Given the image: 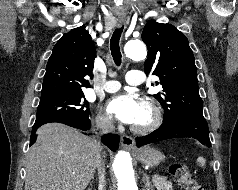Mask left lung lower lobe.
Here are the masks:
<instances>
[{
	"label": "left lung lower lobe",
	"mask_w": 238,
	"mask_h": 190,
	"mask_svg": "<svg viewBox=\"0 0 238 190\" xmlns=\"http://www.w3.org/2000/svg\"><path fill=\"white\" fill-rule=\"evenodd\" d=\"M191 137L203 145L211 146L208 124L203 111H186L163 121L162 125L149 136L136 138L137 147L160 142L170 138Z\"/></svg>",
	"instance_id": "left-lung-lower-lobe-1"
}]
</instances>
